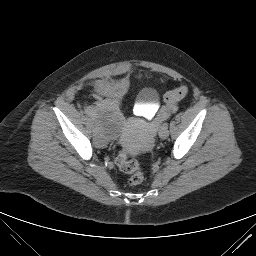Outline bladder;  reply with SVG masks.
<instances>
[{"label":"bladder","mask_w":256,"mask_h":256,"mask_svg":"<svg viewBox=\"0 0 256 256\" xmlns=\"http://www.w3.org/2000/svg\"><path fill=\"white\" fill-rule=\"evenodd\" d=\"M159 95L154 88H144L140 100L145 104L158 101ZM98 137L103 143L115 141L121 136V115L115 107L100 105L91 108Z\"/></svg>","instance_id":"1"}]
</instances>
